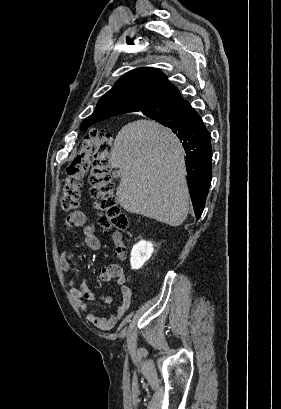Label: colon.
I'll return each instance as SVG.
<instances>
[{
    "label": "colon",
    "instance_id": "obj_1",
    "mask_svg": "<svg viewBox=\"0 0 281 409\" xmlns=\"http://www.w3.org/2000/svg\"><path fill=\"white\" fill-rule=\"evenodd\" d=\"M113 147V135L105 130H94L85 138L82 147L66 166L60 203L62 211L67 214L78 208L83 176L90 164L91 192L100 220L105 227L122 230L130 222L113 195L114 183L109 162Z\"/></svg>",
    "mask_w": 281,
    "mask_h": 409
}]
</instances>
